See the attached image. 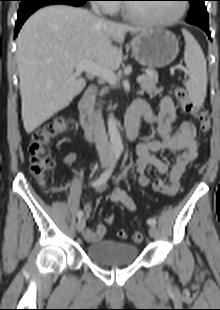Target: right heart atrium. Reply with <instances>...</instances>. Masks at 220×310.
I'll list each match as a JSON object with an SVG mask.
<instances>
[{"label":"right heart atrium","mask_w":220,"mask_h":310,"mask_svg":"<svg viewBox=\"0 0 220 310\" xmlns=\"http://www.w3.org/2000/svg\"><path fill=\"white\" fill-rule=\"evenodd\" d=\"M101 1V9L107 14H113L118 10L115 0H99Z\"/></svg>","instance_id":"right-heart-atrium-1"}]
</instances>
